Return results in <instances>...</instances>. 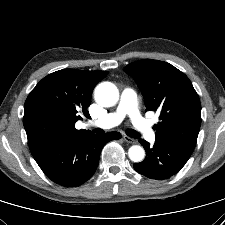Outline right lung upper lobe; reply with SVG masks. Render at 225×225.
<instances>
[{
    "mask_svg": "<svg viewBox=\"0 0 225 225\" xmlns=\"http://www.w3.org/2000/svg\"><path fill=\"white\" fill-rule=\"evenodd\" d=\"M107 71L63 69L43 78L28 95L23 124L31 153L64 136L91 133L75 123L90 118L87 107L95 85Z\"/></svg>",
    "mask_w": 225,
    "mask_h": 225,
    "instance_id": "1",
    "label": "right lung upper lobe"
}]
</instances>
